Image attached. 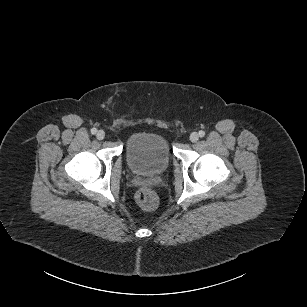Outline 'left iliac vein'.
Listing matches in <instances>:
<instances>
[{
	"instance_id": "obj_1",
	"label": "left iliac vein",
	"mask_w": 307,
	"mask_h": 307,
	"mask_svg": "<svg viewBox=\"0 0 307 307\" xmlns=\"http://www.w3.org/2000/svg\"><path fill=\"white\" fill-rule=\"evenodd\" d=\"M199 139V135L196 132H193L190 134V141L195 143L197 142Z\"/></svg>"
}]
</instances>
